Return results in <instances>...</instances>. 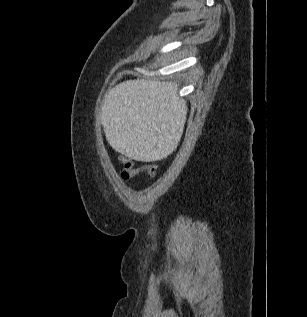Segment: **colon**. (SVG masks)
<instances>
[{"instance_id":"obj_1","label":"colon","mask_w":307,"mask_h":317,"mask_svg":"<svg viewBox=\"0 0 307 317\" xmlns=\"http://www.w3.org/2000/svg\"><path fill=\"white\" fill-rule=\"evenodd\" d=\"M119 162L122 164V170L120 172V177L123 181H128L133 178L139 172H147L150 178H154L157 173V165L155 163H146L140 167H135L134 162L126 157L120 156Z\"/></svg>"}]
</instances>
